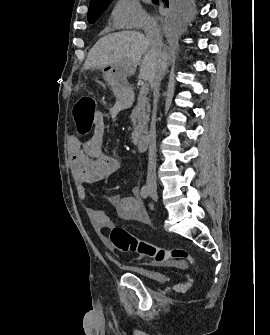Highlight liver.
I'll return each mask as SVG.
<instances>
[{
	"label": "liver",
	"instance_id": "obj_1",
	"mask_svg": "<svg viewBox=\"0 0 270 335\" xmlns=\"http://www.w3.org/2000/svg\"><path fill=\"white\" fill-rule=\"evenodd\" d=\"M162 48L153 46L141 32H115L96 42L83 64V70L113 66L118 80L127 82L126 78L135 74L141 62L140 78L144 82H151L157 70L167 62V54Z\"/></svg>",
	"mask_w": 270,
	"mask_h": 335
}]
</instances>
